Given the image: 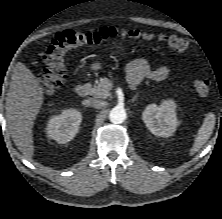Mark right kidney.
Listing matches in <instances>:
<instances>
[{
	"mask_svg": "<svg viewBox=\"0 0 222 219\" xmlns=\"http://www.w3.org/2000/svg\"><path fill=\"white\" fill-rule=\"evenodd\" d=\"M82 121L81 113L73 108L52 116L46 127V134L60 144L71 141L78 133Z\"/></svg>",
	"mask_w": 222,
	"mask_h": 219,
	"instance_id": "1",
	"label": "right kidney"
}]
</instances>
